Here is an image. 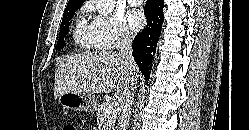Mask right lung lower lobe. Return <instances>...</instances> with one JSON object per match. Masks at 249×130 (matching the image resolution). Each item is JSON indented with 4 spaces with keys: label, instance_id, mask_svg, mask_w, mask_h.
<instances>
[{
    "label": "right lung lower lobe",
    "instance_id": "obj_1",
    "mask_svg": "<svg viewBox=\"0 0 249 130\" xmlns=\"http://www.w3.org/2000/svg\"><path fill=\"white\" fill-rule=\"evenodd\" d=\"M163 7V0H147L144 7L147 26L135 36L132 43V55L146 79L149 78L152 70V60L164 21Z\"/></svg>",
    "mask_w": 249,
    "mask_h": 130
}]
</instances>
